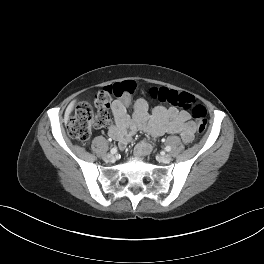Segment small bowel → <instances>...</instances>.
<instances>
[{"label": "small bowel", "instance_id": "1", "mask_svg": "<svg viewBox=\"0 0 264 264\" xmlns=\"http://www.w3.org/2000/svg\"><path fill=\"white\" fill-rule=\"evenodd\" d=\"M128 104L127 99L113 102L112 111L115 123L108 128L110 136L118 141L121 148L130 142L133 134L138 130L153 136L165 133L178 134L186 144L193 141L196 127L188 112L172 107H156L149 115L147 102L139 98L134 103L133 113L129 115ZM150 150V144L144 140L135 146V154L140 157L147 155Z\"/></svg>", "mask_w": 264, "mask_h": 264}]
</instances>
